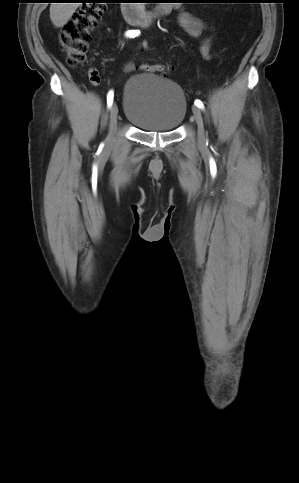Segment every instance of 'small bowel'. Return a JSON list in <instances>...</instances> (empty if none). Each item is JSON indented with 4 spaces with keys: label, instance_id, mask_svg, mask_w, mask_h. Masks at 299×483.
Instances as JSON below:
<instances>
[{
    "label": "small bowel",
    "instance_id": "small-bowel-1",
    "mask_svg": "<svg viewBox=\"0 0 299 483\" xmlns=\"http://www.w3.org/2000/svg\"><path fill=\"white\" fill-rule=\"evenodd\" d=\"M178 22L181 28L192 37H198L203 31L202 22L182 9H180L178 13ZM209 48V43H204L201 48V52L205 58H209ZM132 68V64H127L125 66V71H129ZM89 77L93 84L99 82L98 71L95 68L89 69Z\"/></svg>",
    "mask_w": 299,
    "mask_h": 483
}]
</instances>
